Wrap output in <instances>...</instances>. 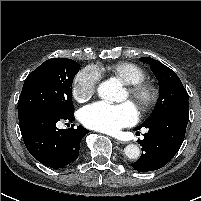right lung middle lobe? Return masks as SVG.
<instances>
[{"label": "right lung middle lobe", "instance_id": "obj_1", "mask_svg": "<svg viewBox=\"0 0 201 201\" xmlns=\"http://www.w3.org/2000/svg\"><path fill=\"white\" fill-rule=\"evenodd\" d=\"M81 65L67 58H51L37 67L24 81L18 101V115L45 108L61 116L74 113L72 81Z\"/></svg>", "mask_w": 201, "mask_h": 201}]
</instances>
